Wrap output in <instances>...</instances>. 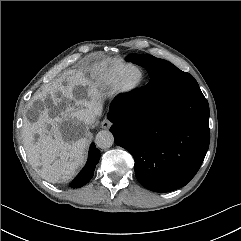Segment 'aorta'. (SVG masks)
<instances>
[{
  "instance_id": "1",
  "label": "aorta",
  "mask_w": 241,
  "mask_h": 241,
  "mask_svg": "<svg viewBox=\"0 0 241 241\" xmlns=\"http://www.w3.org/2000/svg\"><path fill=\"white\" fill-rule=\"evenodd\" d=\"M96 144L101 149L110 148L114 143L113 134L110 131L102 130L96 135Z\"/></svg>"
}]
</instances>
